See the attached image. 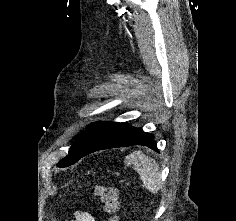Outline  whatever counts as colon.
Returning a JSON list of instances; mask_svg holds the SVG:
<instances>
[{"label": "colon", "instance_id": "colon-1", "mask_svg": "<svg viewBox=\"0 0 236 221\" xmlns=\"http://www.w3.org/2000/svg\"><path fill=\"white\" fill-rule=\"evenodd\" d=\"M93 194L101 201L107 215V221H118L119 201L117 188L98 184L93 188Z\"/></svg>", "mask_w": 236, "mask_h": 221}]
</instances>
